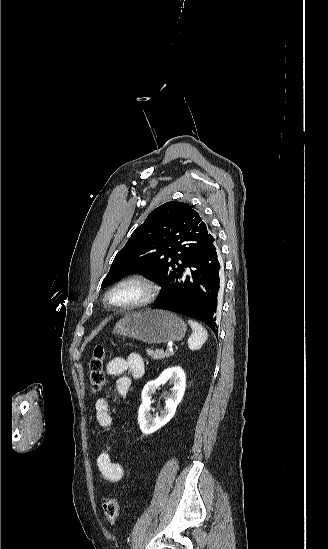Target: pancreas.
<instances>
[{
	"label": "pancreas",
	"mask_w": 328,
	"mask_h": 549,
	"mask_svg": "<svg viewBox=\"0 0 328 549\" xmlns=\"http://www.w3.org/2000/svg\"><path fill=\"white\" fill-rule=\"evenodd\" d=\"M146 353L148 357H152L154 361H159V359H168V357L175 355V353H167V351H163V349H156V351H153V349H147Z\"/></svg>",
	"instance_id": "pancreas-1"
}]
</instances>
